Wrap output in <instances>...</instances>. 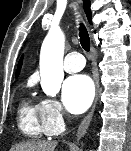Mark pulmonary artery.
<instances>
[{"label":"pulmonary artery","instance_id":"pulmonary-artery-1","mask_svg":"<svg viewBox=\"0 0 131 151\" xmlns=\"http://www.w3.org/2000/svg\"><path fill=\"white\" fill-rule=\"evenodd\" d=\"M84 57L79 52H70L64 58L63 68L68 73H75L83 69Z\"/></svg>","mask_w":131,"mask_h":151}]
</instances>
